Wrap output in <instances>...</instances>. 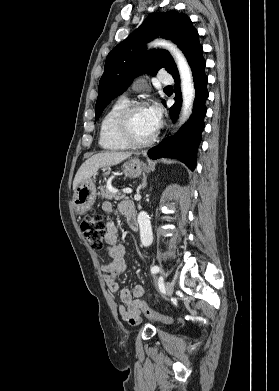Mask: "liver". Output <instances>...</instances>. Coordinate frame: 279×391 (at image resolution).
Here are the masks:
<instances>
[{"label":"liver","mask_w":279,"mask_h":391,"mask_svg":"<svg viewBox=\"0 0 279 391\" xmlns=\"http://www.w3.org/2000/svg\"><path fill=\"white\" fill-rule=\"evenodd\" d=\"M130 156L131 153L127 152H101L93 155L77 171L73 181V190L75 191L81 183L95 175L99 168L117 165Z\"/></svg>","instance_id":"obj_1"}]
</instances>
